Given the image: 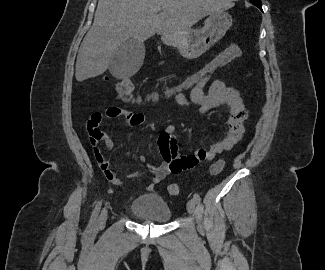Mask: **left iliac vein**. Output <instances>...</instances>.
Instances as JSON below:
<instances>
[{
	"label": "left iliac vein",
	"instance_id": "1",
	"mask_svg": "<svg viewBox=\"0 0 325 270\" xmlns=\"http://www.w3.org/2000/svg\"><path fill=\"white\" fill-rule=\"evenodd\" d=\"M187 211L190 215H193L195 213V201L193 199L188 201Z\"/></svg>",
	"mask_w": 325,
	"mask_h": 270
}]
</instances>
